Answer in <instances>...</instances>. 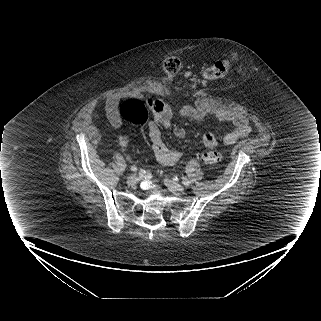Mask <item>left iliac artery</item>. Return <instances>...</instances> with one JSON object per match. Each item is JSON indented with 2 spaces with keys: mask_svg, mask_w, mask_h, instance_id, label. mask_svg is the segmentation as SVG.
Here are the masks:
<instances>
[{
  "mask_svg": "<svg viewBox=\"0 0 321 321\" xmlns=\"http://www.w3.org/2000/svg\"><path fill=\"white\" fill-rule=\"evenodd\" d=\"M182 183L185 185V186H189L190 185V181L186 178H183L182 180Z\"/></svg>",
  "mask_w": 321,
  "mask_h": 321,
  "instance_id": "1",
  "label": "left iliac artery"
}]
</instances>
